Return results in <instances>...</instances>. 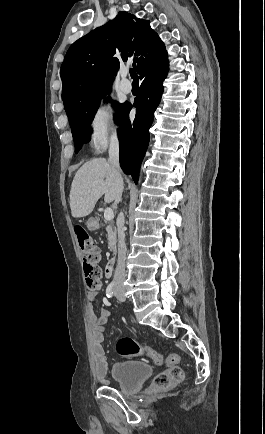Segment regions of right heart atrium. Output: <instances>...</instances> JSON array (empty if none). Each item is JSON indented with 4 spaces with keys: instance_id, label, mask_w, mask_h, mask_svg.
I'll return each instance as SVG.
<instances>
[{
    "instance_id": "right-heart-atrium-1",
    "label": "right heart atrium",
    "mask_w": 265,
    "mask_h": 434,
    "mask_svg": "<svg viewBox=\"0 0 265 434\" xmlns=\"http://www.w3.org/2000/svg\"><path fill=\"white\" fill-rule=\"evenodd\" d=\"M116 103H111V106H103L98 108V113L103 115H91L89 118L88 127V143H91L89 151L91 154H98L101 148H122L124 142L120 137V124L115 112Z\"/></svg>"
}]
</instances>
